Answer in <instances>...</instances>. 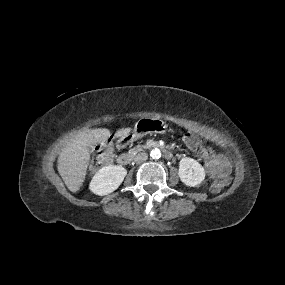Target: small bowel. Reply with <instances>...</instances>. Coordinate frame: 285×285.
<instances>
[{
  "instance_id": "c3829d8e",
  "label": "small bowel",
  "mask_w": 285,
  "mask_h": 285,
  "mask_svg": "<svg viewBox=\"0 0 285 285\" xmlns=\"http://www.w3.org/2000/svg\"><path fill=\"white\" fill-rule=\"evenodd\" d=\"M200 153L209 177L216 178L229 173L230 166L224 157L205 146L200 147Z\"/></svg>"
}]
</instances>
